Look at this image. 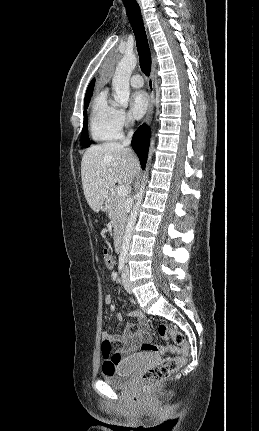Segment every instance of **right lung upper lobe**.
<instances>
[{"label":"right lung upper lobe","mask_w":259,"mask_h":431,"mask_svg":"<svg viewBox=\"0 0 259 431\" xmlns=\"http://www.w3.org/2000/svg\"><path fill=\"white\" fill-rule=\"evenodd\" d=\"M94 82H95V79H93V80L91 81V83L89 84V86H88V88H87V92H86V94H88V93H90V92H92V91H93V88H94Z\"/></svg>","instance_id":"obj_1"}]
</instances>
